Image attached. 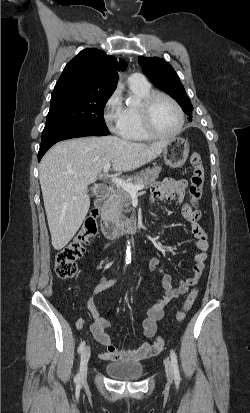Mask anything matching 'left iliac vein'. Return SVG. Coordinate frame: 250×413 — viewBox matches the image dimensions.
Returning a JSON list of instances; mask_svg holds the SVG:
<instances>
[{
	"mask_svg": "<svg viewBox=\"0 0 250 413\" xmlns=\"http://www.w3.org/2000/svg\"><path fill=\"white\" fill-rule=\"evenodd\" d=\"M165 371H166V377H167L168 383H172L173 376H174V369L169 359L165 360Z\"/></svg>",
	"mask_w": 250,
	"mask_h": 413,
	"instance_id": "obj_1",
	"label": "left iliac vein"
}]
</instances>
